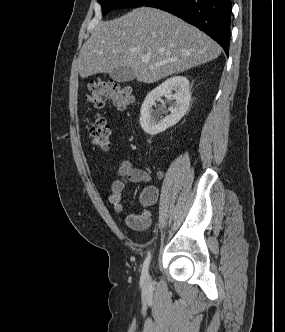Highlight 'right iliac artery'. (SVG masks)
<instances>
[{
    "label": "right iliac artery",
    "mask_w": 285,
    "mask_h": 332,
    "mask_svg": "<svg viewBox=\"0 0 285 332\" xmlns=\"http://www.w3.org/2000/svg\"><path fill=\"white\" fill-rule=\"evenodd\" d=\"M150 260H151V254H148L142 266L141 280L143 281L146 278H148V269H149Z\"/></svg>",
    "instance_id": "1"
}]
</instances>
